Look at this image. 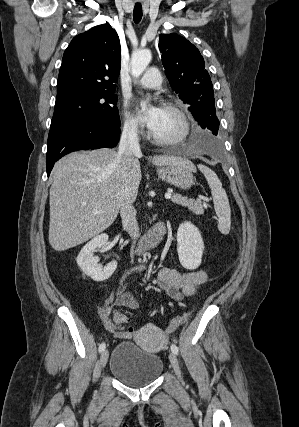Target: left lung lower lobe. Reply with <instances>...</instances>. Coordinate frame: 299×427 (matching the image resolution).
<instances>
[{"label": "left lung lower lobe", "instance_id": "left-lung-lower-lobe-1", "mask_svg": "<svg viewBox=\"0 0 299 427\" xmlns=\"http://www.w3.org/2000/svg\"><path fill=\"white\" fill-rule=\"evenodd\" d=\"M203 116H206V115L203 114ZM205 120H206L205 118L201 119L200 121H198V124L201 126V128L207 130L208 124H206Z\"/></svg>", "mask_w": 299, "mask_h": 427}]
</instances>
